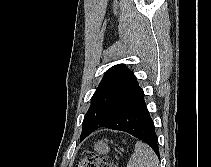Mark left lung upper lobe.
I'll return each instance as SVG.
<instances>
[{
    "label": "left lung upper lobe",
    "mask_w": 211,
    "mask_h": 167,
    "mask_svg": "<svg viewBox=\"0 0 211 167\" xmlns=\"http://www.w3.org/2000/svg\"><path fill=\"white\" fill-rule=\"evenodd\" d=\"M143 90L137 78L125 64L108 69L91 99L82 124V138L87 133L108 123Z\"/></svg>",
    "instance_id": "obj_1"
}]
</instances>
